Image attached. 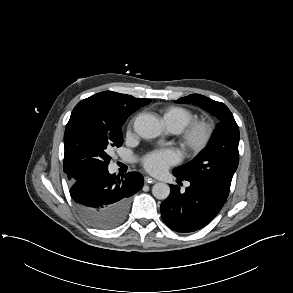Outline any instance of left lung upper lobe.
<instances>
[{"label": "left lung upper lobe", "instance_id": "left-lung-upper-lobe-1", "mask_svg": "<svg viewBox=\"0 0 293 293\" xmlns=\"http://www.w3.org/2000/svg\"><path fill=\"white\" fill-rule=\"evenodd\" d=\"M175 102L197 105L219 119L212 137L191 162L177 167L173 173L182 178H196L230 190L233 175L239 163V129L228 109L222 103L200 94H191Z\"/></svg>", "mask_w": 293, "mask_h": 293}]
</instances>
